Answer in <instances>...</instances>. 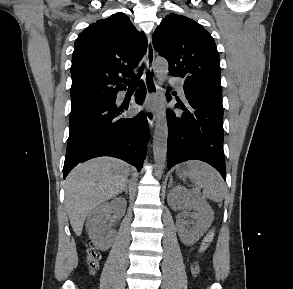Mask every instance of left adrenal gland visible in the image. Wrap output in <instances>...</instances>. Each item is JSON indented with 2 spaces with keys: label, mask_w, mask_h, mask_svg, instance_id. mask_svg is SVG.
Instances as JSON below:
<instances>
[{
  "label": "left adrenal gland",
  "mask_w": 293,
  "mask_h": 289,
  "mask_svg": "<svg viewBox=\"0 0 293 289\" xmlns=\"http://www.w3.org/2000/svg\"><path fill=\"white\" fill-rule=\"evenodd\" d=\"M172 183H173V179H172V177H170V181H169L168 187H171L172 186Z\"/></svg>",
  "instance_id": "obj_1"
}]
</instances>
